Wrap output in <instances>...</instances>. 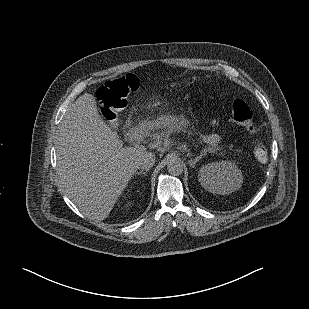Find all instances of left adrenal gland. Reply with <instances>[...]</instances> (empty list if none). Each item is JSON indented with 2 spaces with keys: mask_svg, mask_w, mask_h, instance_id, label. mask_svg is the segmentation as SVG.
Returning a JSON list of instances; mask_svg holds the SVG:
<instances>
[{
  "mask_svg": "<svg viewBox=\"0 0 309 309\" xmlns=\"http://www.w3.org/2000/svg\"><path fill=\"white\" fill-rule=\"evenodd\" d=\"M202 156H203V154H201V155L195 157L194 159L191 158V159L189 160V165H190L192 168H195L196 163L202 158Z\"/></svg>",
  "mask_w": 309,
  "mask_h": 309,
  "instance_id": "left-adrenal-gland-1",
  "label": "left adrenal gland"
}]
</instances>
